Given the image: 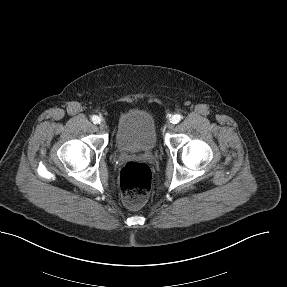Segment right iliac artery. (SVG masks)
I'll return each instance as SVG.
<instances>
[{
  "instance_id": "82829eb1",
  "label": "right iliac artery",
  "mask_w": 287,
  "mask_h": 287,
  "mask_svg": "<svg viewBox=\"0 0 287 287\" xmlns=\"http://www.w3.org/2000/svg\"><path fill=\"white\" fill-rule=\"evenodd\" d=\"M92 122L94 124L100 123V118L98 116H96V115H93L92 116Z\"/></svg>"
}]
</instances>
